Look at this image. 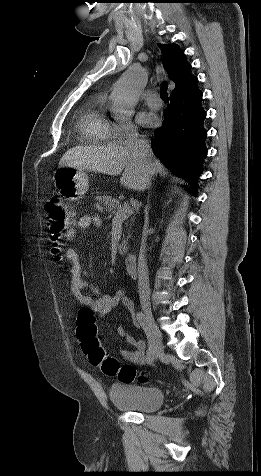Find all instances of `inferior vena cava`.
Here are the masks:
<instances>
[{
	"label": "inferior vena cava",
	"instance_id": "602c4592",
	"mask_svg": "<svg viewBox=\"0 0 261 476\" xmlns=\"http://www.w3.org/2000/svg\"><path fill=\"white\" fill-rule=\"evenodd\" d=\"M125 147L132 151L134 157L138 158L143 164L144 170L147 174H153V164H152V152L150 143L148 140L140 139L136 132H132L128 135L125 141ZM146 187L150 185V179L146 178ZM147 214V208H146ZM145 231L142 238V245L140 248L139 258H138V289H139V298L142 307H150V287H149V277H148V267L145 259L146 252V237L148 229V218L145 220Z\"/></svg>",
	"mask_w": 261,
	"mask_h": 476
}]
</instances>
